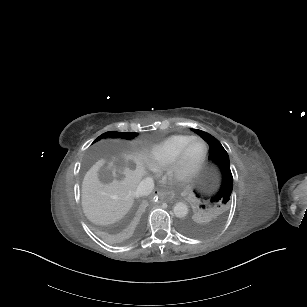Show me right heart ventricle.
<instances>
[{
	"label": "right heart ventricle",
	"instance_id": "obj_1",
	"mask_svg": "<svg viewBox=\"0 0 307 307\" xmlns=\"http://www.w3.org/2000/svg\"><path fill=\"white\" fill-rule=\"evenodd\" d=\"M190 138L188 134H173L154 143H138L134 146L133 154L155 166H166Z\"/></svg>",
	"mask_w": 307,
	"mask_h": 307
}]
</instances>
